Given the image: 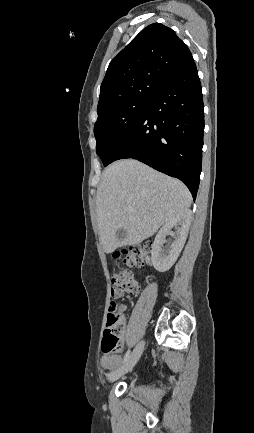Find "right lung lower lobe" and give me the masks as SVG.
I'll list each match as a JSON object with an SVG mask.
<instances>
[{"label": "right lung lower lobe", "mask_w": 254, "mask_h": 433, "mask_svg": "<svg viewBox=\"0 0 254 433\" xmlns=\"http://www.w3.org/2000/svg\"><path fill=\"white\" fill-rule=\"evenodd\" d=\"M204 105L194 60L168 79L122 139L110 163L137 159L180 179L195 200L202 164Z\"/></svg>", "instance_id": "1"}]
</instances>
